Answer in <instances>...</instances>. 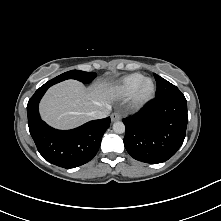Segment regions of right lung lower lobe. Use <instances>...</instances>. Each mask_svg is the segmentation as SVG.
Instances as JSON below:
<instances>
[{"label":"right lung lower lobe","instance_id":"1","mask_svg":"<svg viewBox=\"0 0 221 221\" xmlns=\"http://www.w3.org/2000/svg\"><path fill=\"white\" fill-rule=\"evenodd\" d=\"M49 87L42 86L27 104L28 126L39 153L48 162L66 169L81 166L97 153L110 117L90 121L73 130L53 129L41 120L38 104Z\"/></svg>","mask_w":221,"mask_h":221}]
</instances>
